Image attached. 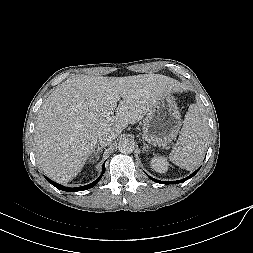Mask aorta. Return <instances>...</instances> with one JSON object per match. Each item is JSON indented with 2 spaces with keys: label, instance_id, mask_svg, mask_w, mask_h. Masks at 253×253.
<instances>
[{
  "label": "aorta",
  "instance_id": "obj_1",
  "mask_svg": "<svg viewBox=\"0 0 253 253\" xmlns=\"http://www.w3.org/2000/svg\"><path fill=\"white\" fill-rule=\"evenodd\" d=\"M135 148V143L134 141L128 139V138H123L122 140L119 141L118 143V149L121 153L124 154H130L134 151Z\"/></svg>",
  "mask_w": 253,
  "mask_h": 253
}]
</instances>
